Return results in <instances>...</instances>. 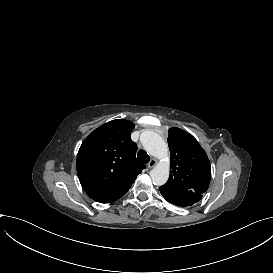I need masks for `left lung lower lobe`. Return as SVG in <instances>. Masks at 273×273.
Wrapping results in <instances>:
<instances>
[{"label":"left lung lower lobe","mask_w":273,"mask_h":273,"mask_svg":"<svg viewBox=\"0 0 273 273\" xmlns=\"http://www.w3.org/2000/svg\"><path fill=\"white\" fill-rule=\"evenodd\" d=\"M160 192L168 202L180 207L193 205L202 197V194H198L190 190L169 191L160 187Z\"/></svg>","instance_id":"0a47b994"}]
</instances>
